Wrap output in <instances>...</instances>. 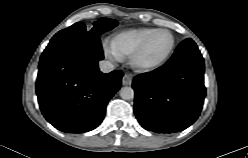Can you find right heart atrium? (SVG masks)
I'll use <instances>...</instances> for the list:
<instances>
[{"mask_svg":"<svg viewBox=\"0 0 248 158\" xmlns=\"http://www.w3.org/2000/svg\"><path fill=\"white\" fill-rule=\"evenodd\" d=\"M103 50L107 58L113 60V61H120L121 56L116 52V50L113 48V46L108 43L104 42L103 44Z\"/></svg>","mask_w":248,"mask_h":158,"instance_id":"right-heart-atrium-1","label":"right heart atrium"}]
</instances>
